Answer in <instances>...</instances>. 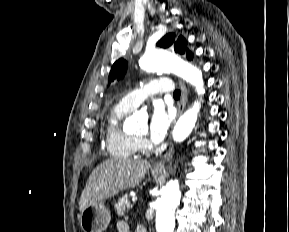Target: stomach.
Here are the masks:
<instances>
[{"label":"stomach","instance_id":"0dacf381","mask_svg":"<svg viewBox=\"0 0 289 232\" xmlns=\"http://www.w3.org/2000/svg\"><path fill=\"white\" fill-rule=\"evenodd\" d=\"M161 172L152 170V175L156 177ZM110 219L109 209L100 201L86 207L80 214L79 222L83 232H104Z\"/></svg>","mask_w":289,"mask_h":232}]
</instances>
